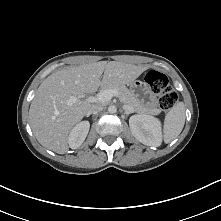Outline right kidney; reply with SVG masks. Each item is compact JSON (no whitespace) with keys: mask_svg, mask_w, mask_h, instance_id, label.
Wrapping results in <instances>:
<instances>
[{"mask_svg":"<svg viewBox=\"0 0 221 221\" xmlns=\"http://www.w3.org/2000/svg\"><path fill=\"white\" fill-rule=\"evenodd\" d=\"M90 124L88 121L78 123L70 132L68 142L72 149H77L82 145L89 132Z\"/></svg>","mask_w":221,"mask_h":221,"instance_id":"right-kidney-1","label":"right kidney"}]
</instances>
